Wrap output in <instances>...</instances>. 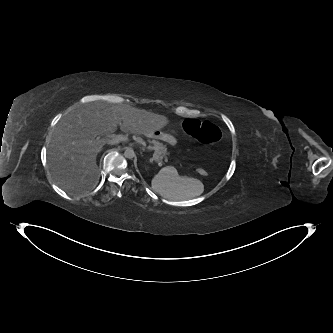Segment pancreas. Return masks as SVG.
<instances>
[{
	"label": "pancreas",
	"instance_id": "pancreas-1",
	"mask_svg": "<svg viewBox=\"0 0 333 333\" xmlns=\"http://www.w3.org/2000/svg\"><path fill=\"white\" fill-rule=\"evenodd\" d=\"M149 142L153 145V148L155 150L156 156L159 158V161H162L164 159L165 162H167L169 152H167L166 145L154 139L149 140Z\"/></svg>",
	"mask_w": 333,
	"mask_h": 333
}]
</instances>
